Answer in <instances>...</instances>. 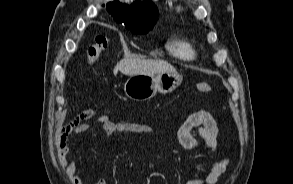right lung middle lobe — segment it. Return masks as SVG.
I'll return each mask as SVG.
<instances>
[{
	"label": "right lung middle lobe",
	"mask_w": 293,
	"mask_h": 184,
	"mask_svg": "<svg viewBox=\"0 0 293 184\" xmlns=\"http://www.w3.org/2000/svg\"><path fill=\"white\" fill-rule=\"evenodd\" d=\"M153 25H140V24H133L125 26L127 29H129L134 34H145L147 33Z\"/></svg>",
	"instance_id": "1"
}]
</instances>
